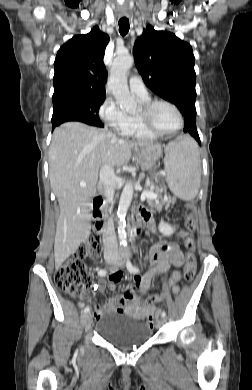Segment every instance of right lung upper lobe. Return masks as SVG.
I'll list each match as a JSON object with an SVG mask.
<instances>
[{"mask_svg":"<svg viewBox=\"0 0 252 390\" xmlns=\"http://www.w3.org/2000/svg\"><path fill=\"white\" fill-rule=\"evenodd\" d=\"M109 36L95 26L58 51L54 62L53 101L69 97L105 98L107 71L103 63Z\"/></svg>","mask_w":252,"mask_h":390,"instance_id":"obj_1","label":"right lung upper lobe"}]
</instances>
